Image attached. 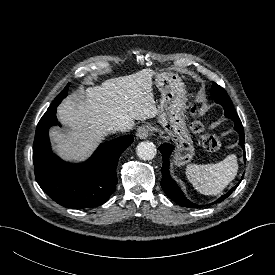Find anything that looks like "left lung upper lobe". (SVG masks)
<instances>
[{"instance_id":"1","label":"left lung upper lobe","mask_w":275,"mask_h":275,"mask_svg":"<svg viewBox=\"0 0 275 275\" xmlns=\"http://www.w3.org/2000/svg\"><path fill=\"white\" fill-rule=\"evenodd\" d=\"M212 97L217 103L221 104L222 102H227L228 104L232 105V101L229 98L226 91L215 82H213V85H212Z\"/></svg>"}]
</instances>
